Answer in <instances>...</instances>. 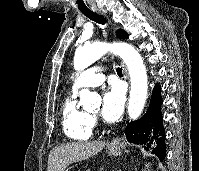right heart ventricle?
Masks as SVG:
<instances>
[{"label":"right heart ventricle","instance_id":"e07e8e85","mask_svg":"<svg viewBox=\"0 0 199 171\" xmlns=\"http://www.w3.org/2000/svg\"><path fill=\"white\" fill-rule=\"evenodd\" d=\"M61 119L64 134L68 138L85 141L92 136L94 127L92 117L78 106L74 90H71L63 101Z\"/></svg>","mask_w":199,"mask_h":171}]
</instances>
